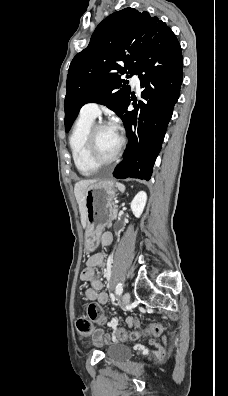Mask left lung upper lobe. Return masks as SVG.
Masks as SVG:
<instances>
[{
  "label": "left lung upper lobe",
  "mask_w": 228,
  "mask_h": 396,
  "mask_svg": "<svg viewBox=\"0 0 228 396\" xmlns=\"http://www.w3.org/2000/svg\"><path fill=\"white\" fill-rule=\"evenodd\" d=\"M169 29L157 17L130 7L104 19L88 46L70 64L65 97L66 132L86 103L106 105L121 117L131 91L118 73H126L127 77L137 74L153 39Z\"/></svg>",
  "instance_id": "1"
}]
</instances>
